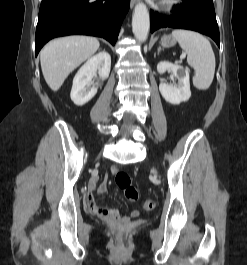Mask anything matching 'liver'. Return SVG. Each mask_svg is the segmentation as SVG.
I'll list each match as a JSON object with an SVG mask.
<instances>
[{
	"label": "liver",
	"instance_id": "1",
	"mask_svg": "<svg viewBox=\"0 0 247 265\" xmlns=\"http://www.w3.org/2000/svg\"><path fill=\"white\" fill-rule=\"evenodd\" d=\"M99 41L69 36L50 41L40 52L41 69L48 86L57 91L68 75L98 50Z\"/></svg>",
	"mask_w": 247,
	"mask_h": 265
}]
</instances>
